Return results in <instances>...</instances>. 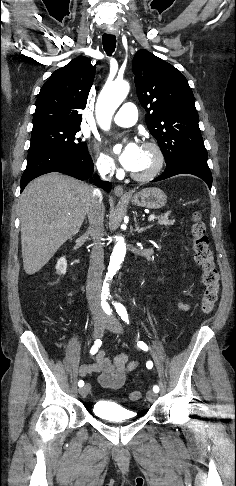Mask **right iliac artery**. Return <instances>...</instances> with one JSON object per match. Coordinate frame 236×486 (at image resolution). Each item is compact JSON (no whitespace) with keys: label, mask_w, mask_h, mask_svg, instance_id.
Segmentation results:
<instances>
[{"label":"right iliac artery","mask_w":236,"mask_h":486,"mask_svg":"<svg viewBox=\"0 0 236 486\" xmlns=\"http://www.w3.org/2000/svg\"><path fill=\"white\" fill-rule=\"evenodd\" d=\"M104 308H105V312H106L107 314H109V315H110L112 311H111V309H110L109 305L105 304V307H104ZM100 345H101V340L97 339V340L95 341V344L92 346V348H91V350H90V353H91L92 355H93V354H95V353L98 351V349H99ZM83 385H84V381L80 380V381L78 382V386H79V387H82Z\"/></svg>","instance_id":"right-iliac-artery-1"}]
</instances>
